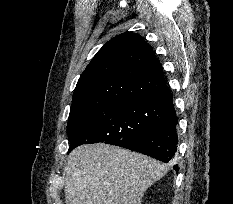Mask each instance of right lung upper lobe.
I'll return each mask as SVG.
<instances>
[{
  "label": "right lung upper lobe",
  "instance_id": "right-lung-upper-lobe-1",
  "mask_svg": "<svg viewBox=\"0 0 233 204\" xmlns=\"http://www.w3.org/2000/svg\"><path fill=\"white\" fill-rule=\"evenodd\" d=\"M167 89L153 48L138 34L117 35L97 52L80 76L68 124L111 103L153 98Z\"/></svg>",
  "mask_w": 233,
  "mask_h": 204
}]
</instances>
